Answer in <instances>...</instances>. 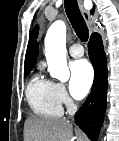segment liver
<instances>
[{
    "mask_svg": "<svg viewBox=\"0 0 119 141\" xmlns=\"http://www.w3.org/2000/svg\"><path fill=\"white\" fill-rule=\"evenodd\" d=\"M25 141H70L73 126L66 119L31 116L24 124ZM79 139H85L78 131Z\"/></svg>",
    "mask_w": 119,
    "mask_h": 141,
    "instance_id": "obj_1",
    "label": "liver"
}]
</instances>
